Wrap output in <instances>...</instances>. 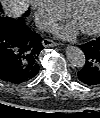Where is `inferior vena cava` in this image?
<instances>
[{
	"label": "inferior vena cava",
	"instance_id": "602c4592",
	"mask_svg": "<svg viewBox=\"0 0 100 118\" xmlns=\"http://www.w3.org/2000/svg\"><path fill=\"white\" fill-rule=\"evenodd\" d=\"M35 24L39 30H44V31H48L51 26V23L47 20H44V19H37L35 21Z\"/></svg>",
	"mask_w": 100,
	"mask_h": 118
}]
</instances>
